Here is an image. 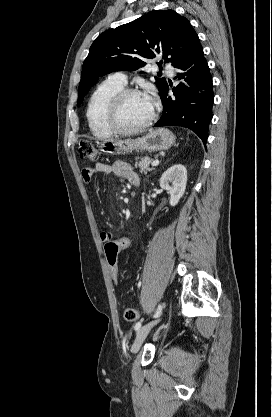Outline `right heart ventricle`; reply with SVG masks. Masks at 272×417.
Listing matches in <instances>:
<instances>
[{
  "label": "right heart ventricle",
  "mask_w": 272,
  "mask_h": 417,
  "mask_svg": "<svg viewBox=\"0 0 272 417\" xmlns=\"http://www.w3.org/2000/svg\"><path fill=\"white\" fill-rule=\"evenodd\" d=\"M122 89L124 85L108 78L92 92L87 104L86 117L92 133L97 138L107 139L115 134L106 123V111L110 100Z\"/></svg>",
  "instance_id": "e07e8e85"
}]
</instances>
